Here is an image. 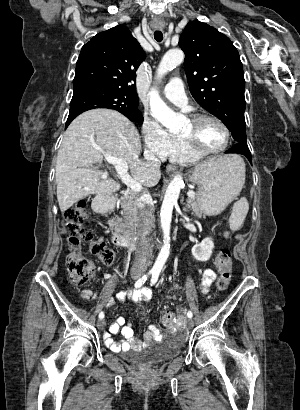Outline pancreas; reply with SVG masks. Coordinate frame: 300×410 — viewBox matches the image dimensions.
<instances>
[{
    "instance_id": "obj_1",
    "label": "pancreas",
    "mask_w": 300,
    "mask_h": 410,
    "mask_svg": "<svg viewBox=\"0 0 300 410\" xmlns=\"http://www.w3.org/2000/svg\"><path fill=\"white\" fill-rule=\"evenodd\" d=\"M121 205V216L117 219V224L115 225V230L124 234L125 236L130 235V229L134 228L138 223V211L135 206V195L130 194L125 196L120 201ZM189 206L191 210L196 214V216H202V208L199 206L198 200L191 198L189 200ZM203 217H205L203 215Z\"/></svg>"
}]
</instances>
